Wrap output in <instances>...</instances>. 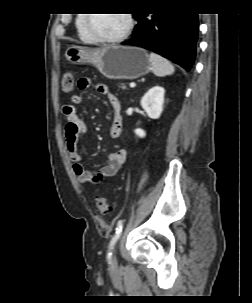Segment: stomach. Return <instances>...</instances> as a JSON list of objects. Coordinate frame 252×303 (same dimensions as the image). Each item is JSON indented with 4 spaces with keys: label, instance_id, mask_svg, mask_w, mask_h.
<instances>
[{
    "label": "stomach",
    "instance_id": "0dacf381",
    "mask_svg": "<svg viewBox=\"0 0 252 303\" xmlns=\"http://www.w3.org/2000/svg\"><path fill=\"white\" fill-rule=\"evenodd\" d=\"M66 59L73 64L91 63L108 79L133 80L151 70L146 51L139 47L110 45L90 49L72 45L65 51Z\"/></svg>",
    "mask_w": 252,
    "mask_h": 303
}]
</instances>
